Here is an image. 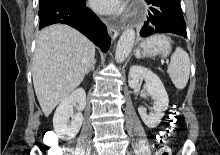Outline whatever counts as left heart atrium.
Instances as JSON below:
<instances>
[{
	"label": "left heart atrium",
	"mask_w": 220,
	"mask_h": 155,
	"mask_svg": "<svg viewBox=\"0 0 220 155\" xmlns=\"http://www.w3.org/2000/svg\"><path fill=\"white\" fill-rule=\"evenodd\" d=\"M94 10L103 14H114L122 11L124 2L122 0H90Z\"/></svg>",
	"instance_id": "39dd6f15"
}]
</instances>
